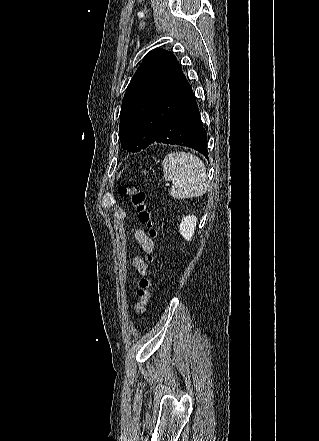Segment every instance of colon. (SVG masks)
Wrapping results in <instances>:
<instances>
[{
    "label": "colon",
    "instance_id": "obj_1",
    "mask_svg": "<svg viewBox=\"0 0 319 441\" xmlns=\"http://www.w3.org/2000/svg\"><path fill=\"white\" fill-rule=\"evenodd\" d=\"M118 192L122 196H127L129 198L132 206L136 210L138 220L141 223L147 225L151 238L157 239L159 236V232L153 222L152 212L149 203L147 201L146 193L142 190H138L133 187H129L125 185L120 186L118 188ZM157 256H158V250H156L154 253L148 256V261L152 264H155L157 262ZM152 277L153 274L151 272L140 280V287L138 290L139 298L136 304L134 305L135 315L140 316L146 310V307L151 297L150 288L152 286Z\"/></svg>",
    "mask_w": 319,
    "mask_h": 441
}]
</instances>
